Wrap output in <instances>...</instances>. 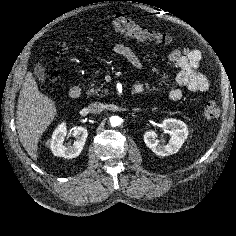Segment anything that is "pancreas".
<instances>
[{"mask_svg":"<svg viewBox=\"0 0 236 236\" xmlns=\"http://www.w3.org/2000/svg\"><path fill=\"white\" fill-rule=\"evenodd\" d=\"M97 76L95 75L94 78L90 82V88L86 91L87 96L93 97H103L104 94H107L106 89H102V86H98L101 83V80L96 79Z\"/></svg>","mask_w":236,"mask_h":236,"instance_id":"pancreas-1","label":"pancreas"}]
</instances>
